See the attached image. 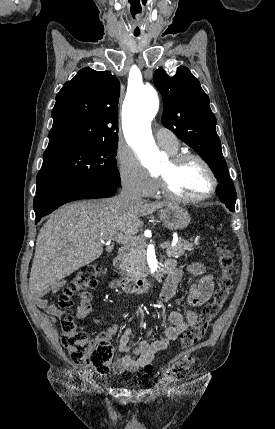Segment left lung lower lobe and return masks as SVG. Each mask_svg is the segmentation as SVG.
<instances>
[{
  "mask_svg": "<svg viewBox=\"0 0 275 429\" xmlns=\"http://www.w3.org/2000/svg\"><path fill=\"white\" fill-rule=\"evenodd\" d=\"M216 192H217V194L219 195V198H220V199L225 198V189H224V187H222V186H220V185H219V186L217 187Z\"/></svg>",
  "mask_w": 275,
  "mask_h": 429,
  "instance_id": "left-lung-lower-lobe-1",
  "label": "left lung lower lobe"
}]
</instances>
